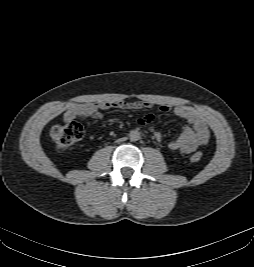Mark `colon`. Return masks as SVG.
Instances as JSON below:
<instances>
[{
    "label": "colon",
    "mask_w": 254,
    "mask_h": 267,
    "mask_svg": "<svg viewBox=\"0 0 254 267\" xmlns=\"http://www.w3.org/2000/svg\"><path fill=\"white\" fill-rule=\"evenodd\" d=\"M84 131L81 124L71 122L68 124H56L49 130V135L54 142L56 148L61 152L69 151L81 138ZM203 155L201 152L192 154L191 161L194 163L200 162Z\"/></svg>",
    "instance_id": "obj_1"
}]
</instances>
